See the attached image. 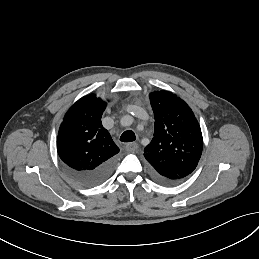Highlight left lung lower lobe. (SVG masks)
I'll use <instances>...</instances> for the list:
<instances>
[{"label":"left lung lower lobe","instance_id":"obj_1","mask_svg":"<svg viewBox=\"0 0 259 259\" xmlns=\"http://www.w3.org/2000/svg\"><path fill=\"white\" fill-rule=\"evenodd\" d=\"M152 175H153V178H154L155 180H157L158 182H160V183H162V184H167V185H169V184H174V183H176V182H171V181L165 180V179H163V178H161V177H159V176H157V175H154L153 173H152Z\"/></svg>","mask_w":259,"mask_h":259}]
</instances>
